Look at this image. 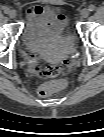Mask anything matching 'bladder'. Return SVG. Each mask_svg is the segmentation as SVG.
<instances>
[{
  "instance_id": "31cf9c89",
  "label": "bladder",
  "mask_w": 104,
  "mask_h": 137,
  "mask_svg": "<svg viewBox=\"0 0 104 137\" xmlns=\"http://www.w3.org/2000/svg\"><path fill=\"white\" fill-rule=\"evenodd\" d=\"M55 8H48L42 18L46 21L44 28L31 31L24 29L21 39L34 53L48 60L60 59L69 54L75 47L67 19L63 20Z\"/></svg>"
}]
</instances>
